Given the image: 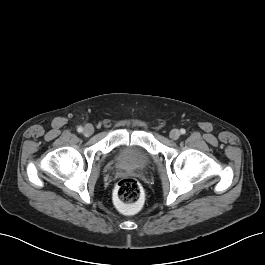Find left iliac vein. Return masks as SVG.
Returning <instances> with one entry per match:
<instances>
[{"label":"left iliac vein","instance_id":"1","mask_svg":"<svg viewBox=\"0 0 265 265\" xmlns=\"http://www.w3.org/2000/svg\"><path fill=\"white\" fill-rule=\"evenodd\" d=\"M169 136L172 140H177L180 137V131L178 129H172Z\"/></svg>","mask_w":265,"mask_h":265}]
</instances>
